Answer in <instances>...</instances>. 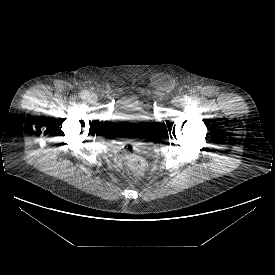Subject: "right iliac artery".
<instances>
[{"mask_svg": "<svg viewBox=\"0 0 275 275\" xmlns=\"http://www.w3.org/2000/svg\"><path fill=\"white\" fill-rule=\"evenodd\" d=\"M80 96H81V98L85 99V98L88 97V92L87 91H82Z\"/></svg>", "mask_w": 275, "mask_h": 275, "instance_id": "right-iliac-artery-1", "label": "right iliac artery"}]
</instances>
